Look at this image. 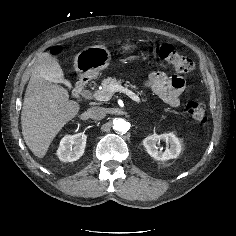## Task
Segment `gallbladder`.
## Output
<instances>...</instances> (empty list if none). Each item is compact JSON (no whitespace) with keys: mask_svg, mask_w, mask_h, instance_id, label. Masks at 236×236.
<instances>
[{"mask_svg":"<svg viewBox=\"0 0 236 236\" xmlns=\"http://www.w3.org/2000/svg\"><path fill=\"white\" fill-rule=\"evenodd\" d=\"M38 63H42L43 66L47 69V75L54 82H61L63 79V72L60 65L57 61L48 53L42 54L38 60Z\"/></svg>","mask_w":236,"mask_h":236,"instance_id":"1","label":"gallbladder"}]
</instances>
